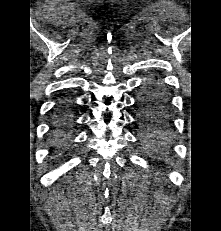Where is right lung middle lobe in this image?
<instances>
[{
	"label": "right lung middle lobe",
	"mask_w": 221,
	"mask_h": 231,
	"mask_svg": "<svg viewBox=\"0 0 221 231\" xmlns=\"http://www.w3.org/2000/svg\"><path fill=\"white\" fill-rule=\"evenodd\" d=\"M54 133L61 139L67 134V131L73 124V115L70 112L69 104H62L58 107L53 118Z\"/></svg>",
	"instance_id": "1"
}]
</instances>
